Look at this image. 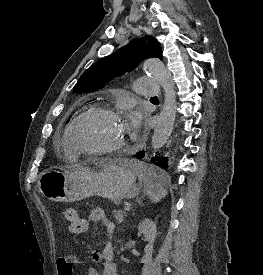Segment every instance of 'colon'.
Listing matches in <instances>:
<instances>
[{
    "instance_id": "colon-1",
    "label": "colon",
    "mask_w": 263,
    "mask_h": 275,
    "mask_svg": "<svg viewBox=\"0 0 263 275\" xmlns=\"http://www.w3.org/2000/svg\"><path fill=\"white\" fill-rule=\"evenodd\" d=\"M62 214L69 223L75 222L78 219L77 210L73 207H66ZM77 258L75 255L58 258L57 266L59 275H73V266Z\"/></svg>"
}]
</instances>
